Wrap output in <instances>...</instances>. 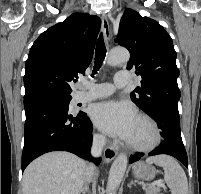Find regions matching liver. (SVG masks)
<instances>
[{
	"label": "liver",
	"instance_id": "obj_1",
	"mask_svg": "<svg viewBox=\"0 0 201 194\" xmlns=\"http://www.w3.org/2000/svg\"><path fill=\"white\" fill-rule=\"evenodd\" d=\"M87 164L64 151L47 153L25 169L23 194H79L86 181Z\"/></svg>",
	"mask_w": 201,
	"mask_h": 194
}]
</instances>
